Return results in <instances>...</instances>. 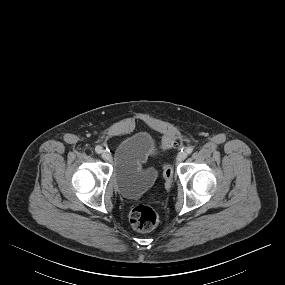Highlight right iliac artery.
Wrapping results in <instances>:
<instances>
[{"label":"right iliac artery","mask_w":285,"mask_h":285,"mask_svg":"<svg viewBox=\"0 0 285 285\" xmlns=\"http://www.w3.org/2000/svg\"><path fill=\"white\" fill-rule=\"evenodd\" d=\"M95 151L97 152V153H101L102 152V147L101 146H96L95 147Z\"/></svg>","instance_id":"1"}]
</instances>
